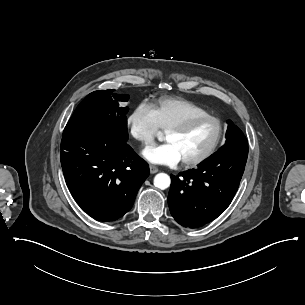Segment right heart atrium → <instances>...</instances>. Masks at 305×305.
Listing matches in <instances>:
<instances>
[{
  "label": "right heart atrium",
  "instance_id": "d8ad5b80",
  "mask_svg": "<svg viewBox=\"0 0 305 305\" xmlns=\"http://www.w3.org/2000/svg\"><path fill=\"white\" fill-rule=\"evenodd\" d=\"M125 124L129 136L143 145H150L160 128L150 105L143 102L126 116Z\"/></svg>",
  "mask_w": 305,
  "mask_h": 305
}]
</instances>
